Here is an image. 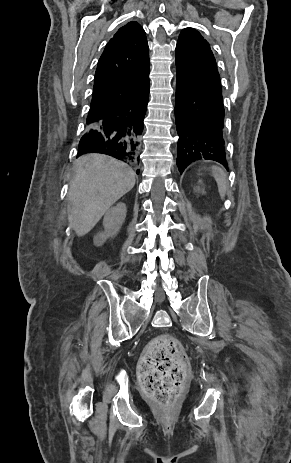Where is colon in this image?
<instances>
[{"mask_svg":"<svg viewBox=\"0 0 291 463\" xmlns=\"http://www.w3.org/2000/svg\"><path fill=\"white\" fill-rule=\"evenodd\" d=\"M188 373L181 344L168 335L154 339L144 350L139 362L143 392L162 406L174 401Z\"/></svg>","mask_w":291,"mask_h":463,"instance_id":"1","label":"colon"}]
</instances>
